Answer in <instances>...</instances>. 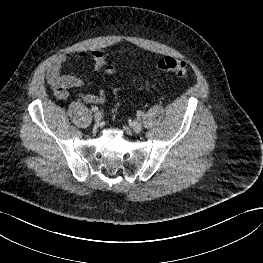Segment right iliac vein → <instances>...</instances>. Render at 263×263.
I'll return each mask as SVG.
<instances>
[{
  "mask_svg": "<svg viewBox=\"0 0 263 263\" xmlns=\"http://www.w3.org/2000/svg\"><path fill=\"white\" fill-rule=\"evenodd\" d=\"M101 118H102V115H101L100 112H96L94 114V120H95L96 123H99L101 121Z\"/></svg>",
  "mask_w": 263,
  "mask_h": 263,
  "instance_id": "63e3f726",
  "label": "right iliac vein"
}]
</instances>
